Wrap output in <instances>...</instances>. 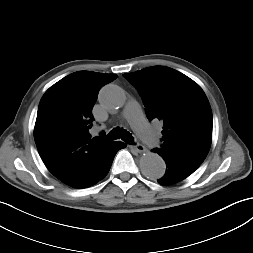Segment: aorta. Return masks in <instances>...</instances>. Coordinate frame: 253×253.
Here are the masks:
<instances>
[{
  "instance_id": "762f6f07",
  "label": "aorta",
  "mask_w": 253,
  "mask_h": 253,
  "mask_svg": "<svg viewBox=\"0 0 253 253\" xmlns=\"http://www.w3.org/2000/svg\"><path fill=\"white\" fill-rule=\"evenodd\" d=\"M99 102L108 111L122 108L126 102V95L122 88L109 84L104 86L99 93ZM140 168L149 178H161L165 174L166 165L157 153H146L140 158Z\"/></svg>"
}]
</instances>
